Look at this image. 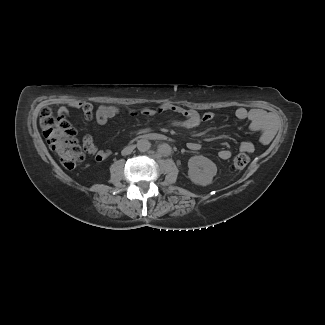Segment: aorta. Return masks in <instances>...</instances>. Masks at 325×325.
Instances as JSON below:
<instances>
[{
	"instance_id": "aorta-1",
	"label": "aorta",
	"mask_w": 325,
	"mask_h": 325,
	"mask_svg": "<svg viewBox=\"0 0 325 325\" xmlns=\"http://www.w3.org/2000/svg\"><path fill=\"white\" fill-rule=\"evenodd\" d=\"M151 143L147 139H140L137 142V148L140 152H146L150 149Z\"/></svg>"
}]
</instances>
